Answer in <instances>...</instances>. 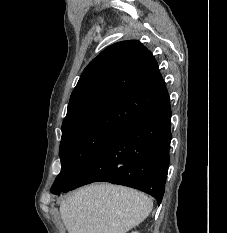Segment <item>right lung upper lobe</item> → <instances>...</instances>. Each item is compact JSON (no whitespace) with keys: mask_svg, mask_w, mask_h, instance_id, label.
<instances>
[{"mask_svg":"<svg viewBox=\"0 0 227 233\" xmlns=\"http://www.w3.org/2000/svg\"><path fill=\"white\" fill-rule=\"evenodd\" d=\"M169 101L151 52L136 40L107 47L74 88L62 134L98 128L118 132Z\"/></svg>","mask_w":227,"mask_h":233,"instance_id":"right-lung-upper-lobe-1","label":"right lung upper lobe"}]
</instances>
